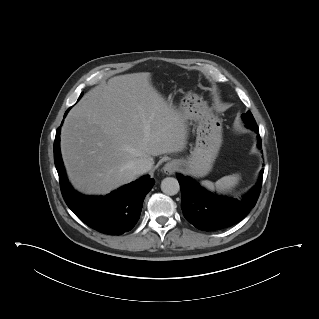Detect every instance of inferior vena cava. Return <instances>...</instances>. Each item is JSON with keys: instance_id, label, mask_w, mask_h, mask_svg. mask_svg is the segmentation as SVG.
<instances>
[{"instance_id": "1", "label": "inferior vena cava", "mask_w": 319, "mask_h": 319, "mask_svg": "<svg viewBox=\"0 0 319 319\" xmlns=\"http://www.w3.org/2000/svg\"><path fill=\"white\" fill-rule=\"evenodd\" d=\"M153 166V161L150 158H142L135 160L131 165V170L134 174L140 175L149 171Z\"/></svg>"}]
</instances>
